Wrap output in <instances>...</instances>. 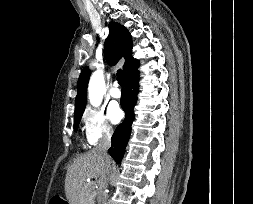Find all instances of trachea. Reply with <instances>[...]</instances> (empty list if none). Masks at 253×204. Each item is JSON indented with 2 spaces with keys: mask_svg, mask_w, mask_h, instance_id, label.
<instances>
[{
  "mask_svg": "<svg viewBox=\"0 0 253 204\" xmlns=\"http://www.w3.org/2000/svg\"><path fill=\"white\" fill-rule=\"evenodd\" d=\"M117 80L121 86H124V74L122 70L117 71Z\"/></svg>",
  "mask_w": 253,
  "mask_h": 204,
  "instance_id": "obj_1",
  "label": "trachea"
}]
</instances>
